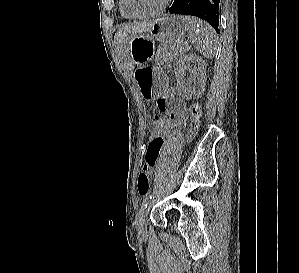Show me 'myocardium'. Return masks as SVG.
I'll return each instance as SVG.
<instances>
[{"label":"myocardium","instance_id":"1","mask_svg":"<svg viewBox=\"0 0 299 273\" xmlns=\"http://www.w3.org/2000/svg\"><path fill=\"white\" fill-rule=\"evenodd\" d=\"M170 1L171 0H163V2L154 10L148 12H142V13L132 11L127 5V0H121V6L125 11V13H127L129 16L133 18H145V17L155 16L163 12L168 7Z\"/></svg>","mask_w":299,"mask_h":273}]
</instances>
